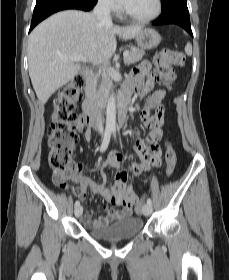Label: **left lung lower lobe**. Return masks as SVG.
<instances>
[{"label":"left lung lower lobe","mask_w":229,"mask_h":280,"mask_svg":"<svg viewBox=\"0 0 229 280\" xmlns=\"http://www.w3.org/2000/svg\"><path fill=\"white\" fill-rule=\"evenodd\" d=\"M163 24L179 25L193 36L186 0H174L171 4L163 8L162 15L153 21V25Z\"/></svg>","instance_id":"1"}]
</instances>
